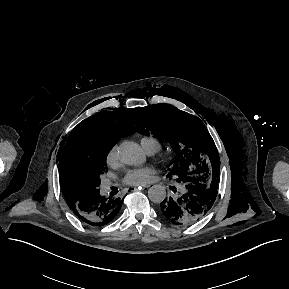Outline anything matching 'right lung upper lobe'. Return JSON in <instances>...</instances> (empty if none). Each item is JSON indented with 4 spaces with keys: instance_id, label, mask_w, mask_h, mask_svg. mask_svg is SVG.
<instances>
[{
    "instance_id": "cb5924a9",
    "label": "right lung upper lobe",
    "mask_w": 289,
    "mask_h": 289,
    "mask_svg": "<svg viewBox=\"0 0 289 289\" xmlns=\"http://www.w3.org/2000/svg\"><path fill=\"white\" fill-rule=\"evenodd\" d=\"M135 109L118 108L98 112L80 122L62 145L58 157L60 183L68 205L81 201L83 194L76 185L74 171L103 147H112L121 137L135 132Z\"/></svg>"
}]
</instances>
